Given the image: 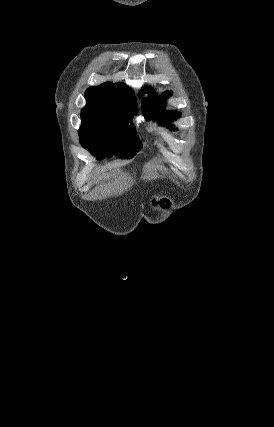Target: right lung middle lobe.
<instances>
[{"label":"right lung middle lobe","mask_w":274,"mask_h":427,"mask_svg":"<svg viewBox=\"0 0 274 427\" xmlns=\"http://www.w3.org/2000/svg\"><path fill=\"white\" fill-rule=\"evenodd\" d=\"M132 116L128 112L81 115V144L99 159L113 154L132 158L142 148L134 126L128 125Z\"/></svg>","instance_id":"1"}]
</instances>
